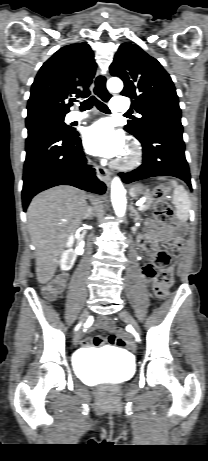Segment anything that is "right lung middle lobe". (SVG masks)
<instances>
[{"label":"right lung middle lobe","mask_w":208,"mask_h":461,"mask_svg":"<svg viewBox=\"0 0 208 461\" xmlns=\"http://www.w3.org/2000/svg\"><path fill=\"white\" fill-rule=\"evenodd\" d=\"M26 127L28 130V137H31L36 133L47 129H59L62 131L70 130L69 127L64 123V117L50 116L27 117Z\"/></svg>","instance_id":"right-lung-middle-lobe-1"}]
</instances>
